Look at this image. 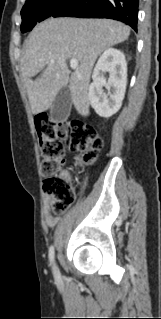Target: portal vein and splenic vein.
Segmentation results:
<instances>
[{"label": "portal vein and splenic vein", "mask_w": 161, "mask_h": 319, "mask_svg": "<svg viewBox=\"0 0 161 319\" xmlns=\"http://www.w3.org/2000/svg\"><path fill=\"white\" fill-rule=\"evenodd\" d=\"M50 62L51 63H53L54 62V60H50ZM70 67L72 68V69H76L77 67H78V60L77 59H71L70 60Z\"/></svg>", "instance_id": "portal-vein-and-splenic-vein-1"}]
</instances>
